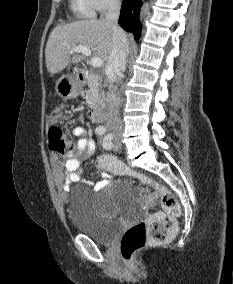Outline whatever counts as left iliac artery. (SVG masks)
<instances>
[{
  "label": "left iliac artery",
  "mask_w": 233,
  "mask_h": 284,
  "mask_svg": "<svg viewBox=\"0 0 233 284\" xmlns=\"http://www.w3.org/2000/svg\"><path fill=\"white\" fill-rule=\"evenodd\" d=\"M112 138L113 137H112L111 134H108V135L105 136L104 141H103V147L105 149H111V147H112V142H111Z\"/></svg>",
  "instance_id": "1"
}]
</instances>
